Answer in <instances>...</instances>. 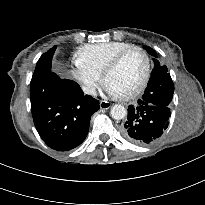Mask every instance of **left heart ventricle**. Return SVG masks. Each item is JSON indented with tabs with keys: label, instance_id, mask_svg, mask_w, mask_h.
<instances>
[{
	"label": "left heart ventricle",
	"instance_id": "1",
	"mask_svg": "<svg viewBox=\"0 0 205 205\" xmlns=\"http://www.w3.org/2000/svg\"><path fill=\"white\" fill-rule=\"evenodd\" d=\"M145 71V60L139 52H131L119 66L106 78V86L118 96L134 90L140 83Z\"/></svg>",
	"mask_w": 205,
	"mask_h": 205
}]
</instances>
